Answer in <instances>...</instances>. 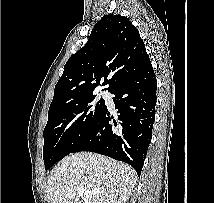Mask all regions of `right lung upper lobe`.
<instances>
[{
  "instance_id": "right-lung-upper-lobe-1",
  "label": "right lung upper lobe",
  "mask_w": 214,
  "mask_h": 203,
  "mask_svg": "<svg viewBox=\"0 0 214 203\" xmlns=\"http://www.w3.org/2000/svg\"><path fill=\"white\" fill-rule=\"evenodd\" d=\"M150 64L139 31L129 19L105 15L95 24L85 46L65 64L49 111L92 95L103 77L102 86L109 91Z\"/></svg>"
}]
</instances>
